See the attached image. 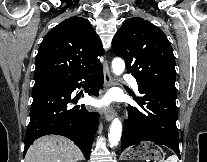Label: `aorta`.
<instances>
[{
  "instance_id": "aorta-1",
  "label": "aorta",
  "mask_w": 207,
  "mask_h": 162,
  "mask_svg": "<svg viewBox=\"0 0 207 162\" xmlns=\"http://www.w3.org/2000/svg\"><path fill=\"white\" fill-rule=\"evenodd\" d=\"M125 63L121 58H115L112 61V71L115 75H121L124 72ZM122 133V123L118 118L112 121L110 131L108 134L110 146L114 147L118 144Z\"/></svg>"
}]
</instances>
